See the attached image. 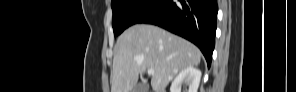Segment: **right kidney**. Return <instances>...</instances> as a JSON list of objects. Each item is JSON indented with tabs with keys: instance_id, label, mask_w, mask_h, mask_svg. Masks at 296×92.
<instances>
[{
	"instance_id": "ca27d5eb",
	"label": "right kidney",
	"mask_w": 296,
	"mask_h": 92,
	"mask_svg": "<svg viewBox=\"0 0 296 92\" xmlns=\"http://www.w3.org/2000/svg\"><path fill=\"white\" fill-rule=\"evenodd\" d=\"M201 79V71L196 67H187L179 72V74L173 80L170 92H181V84L186 81L189 88L186 92H197Z\"/></svg>"
}]
</instances>
